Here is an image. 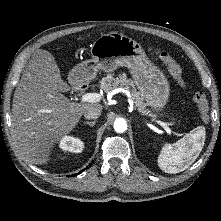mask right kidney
Here are the masks:
<instances>
[{
	"mask_svg": "<svg viewBox=\"0 0 221 221\" xmlns=\"http://www.w3.org/2000/svg\"><path fill=\"white\" fill-rule=\"evenodd\" d=\"M60 147L64 151L80 153L83 151L84 143L79 138L65 136L60 141Z\"/></svg>",
	"mask_w": 221,
	"mask_h": 221,
	"instance_id": "ca27d5eb",
	"label": "right kidney"
}]
</instances>
